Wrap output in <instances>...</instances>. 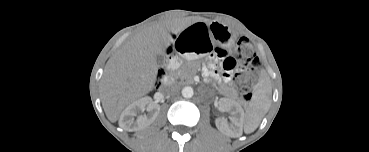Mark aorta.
<instances>
[{"label":"aorta","instance_id":"aorta-1","mask_svg":"<svg viewBox=\"0 0 369 152\" xmlns=\"http://www.w3.org/2000/svg\"><path fill=\"white\" fill-rule=\"evenodd\" d=\"M181 93L184 98H191L194 94V90L192 87L186 86L182 89Z\"/></svg>","mask_w":369,"mask_h":152}]
</instances>
